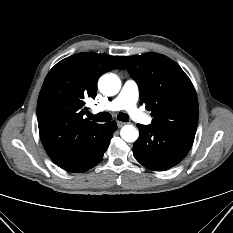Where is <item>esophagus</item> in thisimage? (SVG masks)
Returning <instances> with one entry per match:
<instances>
[{
  "mask_svg": "<svg viewBox=\"0 0 233 233\" xmlns=\"http://www.w3.org/2000/svg\"><path fill=\"white\" fill-rule=\"evenodd\" d=\"M116 123H117L118 128H121L122 126L126 124L125 122H122V121H117Z\"/></svg>",
  "mask_w": 233,
  "mask_h": 233,
  "instance_id": "esophagus-1",
  "label": "esophagus"
}]
</instances>
